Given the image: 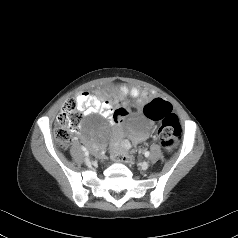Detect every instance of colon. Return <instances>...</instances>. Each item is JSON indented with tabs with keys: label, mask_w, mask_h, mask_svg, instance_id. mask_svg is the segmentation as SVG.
Instances as JSON below:
<instances>
[{
	"label": "colon",
	"mask_w": 238,
	"mask_h": 238,
	"mask_svg": "<svg viewBox=\"0 0 238 238\" xmlns=\"http://www.w3.org/2000/svg\"><path fill=\"white\" fill-rule=\"evenodd\" d=\"M144 113L152 121L160 122L158 138L163 148L170 150L181 137V126L178 117L173 113L169 102L154 99L144 107ZM126 115L122 108L113 112V120L120 122ZM82 118L81 110L76 99L69 98L64 103L56 120L54 135L59 147L66 149L71 141L72 133L79 128ZM111 158L116 162L131 163L132 155L127 149L116 146Z\"/></svg>",
	"instance_id": "obj_1"
}]
</instances>
